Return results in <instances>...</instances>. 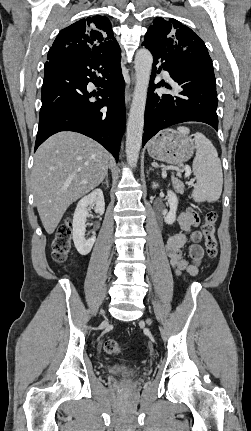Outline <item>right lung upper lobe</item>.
Instances as JSON below:
<instances>
[{
    "mask_svg": "<svg viewBox=\"0 0 251 431\" xmlns=\"http://www.w3.org/2000/svg\"><path fill=\"white\" fill-rule=\"evenodd\" d=\"M64 52L82 60H96L110 66L121 58L111 23L105 16L81 19L64 28L56 37L47 59Z\"/></svg>",
    "mask_w": 251,
    "mask_h": 431,
    "instance_id": "cb5924a9",
    "label": "right lung upper lobe"
}]
</instances>
